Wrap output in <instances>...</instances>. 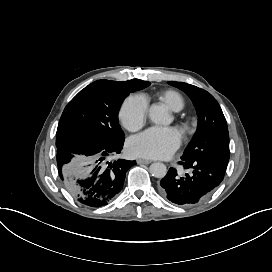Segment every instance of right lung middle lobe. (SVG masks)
<instances>
[{
	"label": "right lung middle lobe",
	"mask_w": 272,
	"mask_h": 272,
	"mask_svg": "<svg viewBox=\"0 0 272 272\" xmlns=\"http://www.w3.org/2000/svg\"><path fill=\"white\" fill-rule=\"evenodd\" d=\"M150 82L97 80L81 90L65 107L60 118L56 147L77 139H90L112 145L124 141L118 112L129 92L143 89Z\"/></svg>",
	"instance_id": "obj_1"
}]
</instances>
